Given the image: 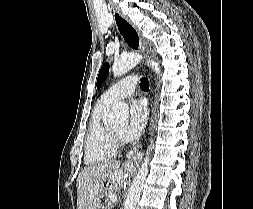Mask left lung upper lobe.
I'll return each mask as SVG.
<instances>
[{"instance_id":"left-lung-upper-lobe-1","label":"left lung upper lobe","mask_w":253,"mask_h":209,"mask_svg":"<svg viewBox=\"0 0 253 209\" xmlns=\"http://www.w3.org/2000/svg\"><path fill=\"white\" fill-rule=\"evenodd\" d=\"M108 71H109V64H108V63H105V64L102 66V68H101V70H100V72H99V74H98V78H97V89H100V87H101L103 81H104V80L106 79V77H107Z\"/></svg>"}]
</instances>
